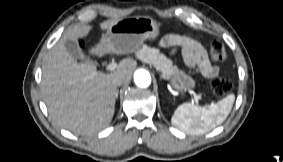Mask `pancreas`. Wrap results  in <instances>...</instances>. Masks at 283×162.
I'll use <instances>...</instances> for the list:
<instances>
[{"instance_id":"pancreas-1","label":"pancreas","mask_w":283,"mask_h":162,"mask_svg":"<svg viewBox=\"0 0 283 162\" xmlns=\"http://www.w3.org/2000/svg\"><path fill=\"white\" fill-rule=\"evenodd\" d=\"M137 57L143 62L153 64L158 71L162 72V78H170L179 72L176 67L172 66L170 60L155 48L144 46L138 50Z\"/></svg>"}]
</instances>
